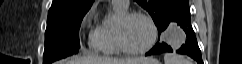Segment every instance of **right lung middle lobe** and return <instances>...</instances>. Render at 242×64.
Returning <instances> with one entry per match:
<instances>
[{
    "label": "right lung middle lobe",
    "mask_w": 242,
    "mask_h": 64,
    "mask_svg": "<svg viewBox=\"0 0 242 64\" xmlns=\"http://www.w3.org/2000/svg\"><path fill=\"white\" fill-rule=\"evenodd\" d=\"M86 13L47 19L43 64L78 53L79 28Z\"/></svg>",
    "instance_id": "obj_1"
}]
</instances>
